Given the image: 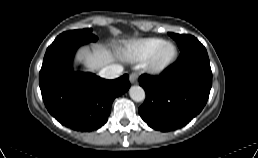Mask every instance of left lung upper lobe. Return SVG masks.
I'll list each match as a JSON object with an SVG mask.
<instances>
[{"label":"left lung upper lobe","mask_w":258,"mask_h":158,"mask_svg":"<svg viewBox=\"0 0 258 158\" xmlns=\"http://www.w3.org/2000/svg\"><path fill=\"white\" fill-rule=\"evenodd\" d=\"M169 35L177 42L180 50L187 48L190 44L198 41L192 35H179L175 33H169Z\"/></svg>","instance_id":"1"}]
</instances>
